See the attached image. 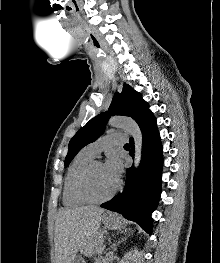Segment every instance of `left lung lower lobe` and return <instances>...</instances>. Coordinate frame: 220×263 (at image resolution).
Instances as JSON below:
<instances>
[{
	"instance_id": "0a47b994",
	"label": "left lung lower lobe",
	"mask_w": 220,
	"mask_h": 263,
	"mask_svg": "<svg viewBox=\"0 0 220 263\" xmlns=\"http://www.w3.org/2000/svg\"><path fill=\"white\" fill-rule=\"evenodd\" d=\"M142 157L138 169L128 168L126 185L122 193L101 205L137 222L151 234L152 212L156 209L161 193L162 145L156 120L142 131ZM129 154L134 157V141L130 139Z\"/></svg>"
}]
</instances>
